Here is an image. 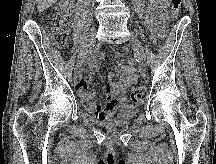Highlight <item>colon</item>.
<instances>
[{
    "label": "colon",
    "instance_id": "colon-1",
    "mask_svg": "<svg viewBox=\"0 0 216 164\" xmlns=\"http://www.w3.org/2000/svg\"><path fill=\"white\" fill-rule=\"evenodd\" d=\"M74 0H59L55 13L51 19L49 34L52 41L57 46H63L66 41V34L72 23V13L74 9ZM182 6V0H171V10L169 18L176 22L179 17ZM147 91L144 87H135L129 95H120L118 100L128 105L140 104L146 98Z\"/></svg>",
    "mask_w": 216,
    "mask_h": 164
}]
</instances>
